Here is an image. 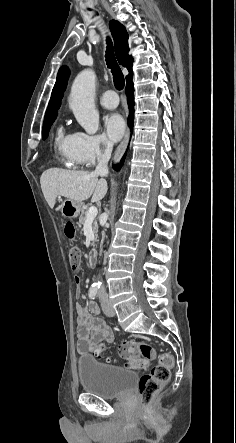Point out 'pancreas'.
<instances>
[{"instance_id": "pancreas-1", "label": "pancreas", "mask_w": 236, "mask_h": 443, "mask_svg": "<svg viewBox=\"0 0 236 443\" xmlns=\"http://www.w3.org/2000/svg\"><path fill=\"white\" fill-rule=\"evenodd\" d=\"M88 213L87 209H83L81 212V215L79 217V223L84 224L86 222V215ZM93 232L95 233V238H97V232H98V224L97 221H93L92 223Z\"/></svg>"}]
</instances>
